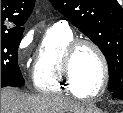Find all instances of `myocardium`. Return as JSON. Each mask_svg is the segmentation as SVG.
<instances>
[{"label": "myocardium", "instance_id": "obj_1", "mask_svg": "<svg viewBox=\"0 0 123 113\" xmlns=\"http://www.w3.org/2000/svg\"><path fill=\"white\" fill-rule=\"evenodd\" d=\"M83 46H89L91 47L98 55L102 68H103V78L100 86L97 90H95L92 93H87L85 91L79 90L78 87L75 84L73 72H72V65L73 60L78 53V51ZM62 72L63 75L68 82L70 88L82 95L83 98H95L100 96L107 88V85L109 83L110 78V69H109V63L107 60V57L101 47L94 41L90 39H74L66 48L63 61H62Z\"/></svg>", "mask_w": 123, "mask_h": 113}]
</instances>
